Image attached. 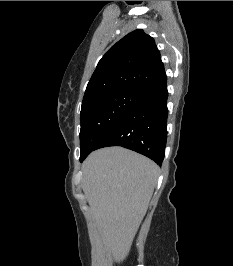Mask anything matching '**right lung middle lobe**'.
I'll use <instances>...</instances> for the list:
<instances>
[{
	"instance_id": "dd1d6c3e",
	"label": "right lung middle lobe",
	"mask_w": 233,
	"mask_h": 266,
	"mask_svg": "<svg viewBox=\"0 0 233 266\" xmlns=\"http://www.w3.org/2000/svg\"><path fill=\"white\" fill-rule=\"evenodd\" d=\"M145 91L119 90L82 102L80 120L81 156L92 152L144 96Z\"/></svg>"
}]
</instances>
